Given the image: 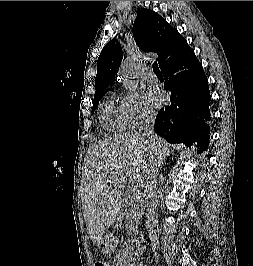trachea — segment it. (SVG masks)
Returning <instances> with one entry per match:
<instances>
[{
  "label": "trachea",
  "mask_w": 253,
  "mask_h": 266,
  "mask_svg": "<svg viewBox=\"0 0 253 266\" xmlns=\"http://www.w3.org/2000/svg\"><path fill=\"white\" fill-rule=\"evenodd\" d=\"M153 71L155 74H161L157 62L153 63Z\"/></svg>",
  "instance_id": "obj_1"
}]
</instances>
